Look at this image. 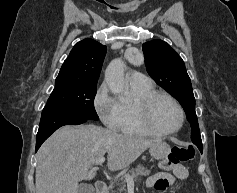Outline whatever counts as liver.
<instances>
[{
  "label": "liver",
  "instance_id": "obj_1",
  "mask_svg": "<svg viewBox=\"0 0 237 193\" xmlns=\"http://www.w3.org/2000/svg\"><path fill=\"white\" fill-rule=\"evenodd\" d=\"M158 141L118 134L93 124L63 126L37 153L36 193H77L79 181L95 176L92 165L105 153L108 169L117 171Z\"/></svg>",
  "mask_w": 237,
  "mask_h": 193
}]
</instances>
